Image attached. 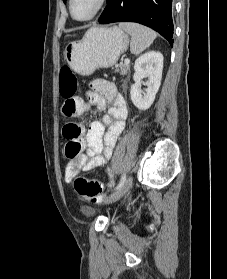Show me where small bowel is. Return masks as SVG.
I'll list each match as a JSON object with an SVG mask.
<instances>
[{
	"label": "small bowel",
	"instance_id": "obj_1",
	"mask_svg": "<svg viewBox=\"0 0 227 279\" xmlns=\"http://www.w3.org/2000/svg\"><path fill=\"white\" fill-rule=\"evenodd\" d=\"M86 100L77 98L79 105L75 116H81L91 108L107 113L89 123L87 129L80 123H70L80 129L74 139L80 147V154L70 159L65 168V181L72 183L79 170L91 171L103 166L111 158L115 143L124 128L128 117V107L116 86L106 80L91 83Z\"/></svg>",
	"mask_w": 227,
	"mask_h": 279
}]
</instances>
